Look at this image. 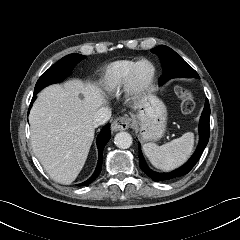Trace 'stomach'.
<instances>
[{"mask_svg": "<svg viewBox=\"0 0 240 240\" xmlns=\"http://www.w3.org/2000/svg\"><path fill=\"white\" fill-rule=\"evenodd\" d=\"M139 131L143 141L160 139L166 128V107L155 96H149L140 106Z\"/></svg>", "mask_w": 240, "mask_h": 240, "instance_id": "stomach-1", "label": "stomach"}]
</instances>
